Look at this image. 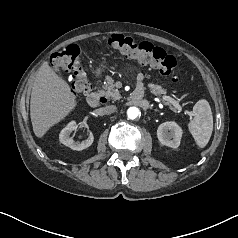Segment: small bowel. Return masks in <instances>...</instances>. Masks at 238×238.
I'll return each instance as SVG.
<instances>
[{
  "label": "small bowel",
  "instance_id": "c3829d8e",
  "mask_svg": "<svg viewBox=\"0 0 238 238\" xmlns=\"http://www.w3.org/2000/svg\"><path fill=\"white\" fill-rule=\"evenodd\" d=\"M144 74H140L139 76H138V85H142V81L144 80Z\"/></svg>",
  "mask_w": 238,
  "mask_h": 238
}]
</instances>
